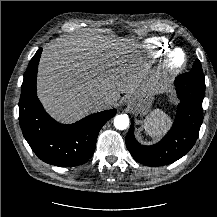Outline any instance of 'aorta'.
Listing matches in <instances>:
<instances>
[{"label": "aorta", "instance_id": "762f6f07", "mask_svg": "<svg viewBox=\"0 0 217 217\" xmlns=\"http://www.w3.org/2000/svg\"><path fill=\"white\" fill-rule=\"evenodd\" d=\"M114 126L118 130H125L129 126V118L126 114L117 115L114 118Z\"/></svg>", "mask_w": 217, "mask_h": 217}]
</instances>
